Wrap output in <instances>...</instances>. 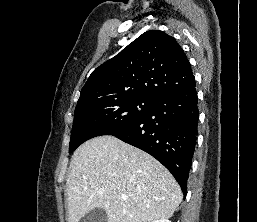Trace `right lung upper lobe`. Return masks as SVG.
Masks as SVG:
<instances>
[{"label":"right lung upper lobe","instance_id":"cb5924a9","mask_svg":"<svg viewBox=\"0 0 257 222\" xmlns=\"http://www.w3.org/2000/svg\"><path fill=\"white\" fill-rule=\"evenodd\" d=\"M194 84L191 64L175 38L150 30L91 73L77 105L96 97L158 100Z\"/></svg>","mask_w":257,"mask_h":222}]
</instances>
